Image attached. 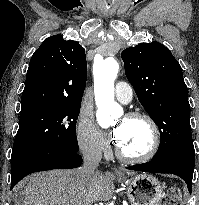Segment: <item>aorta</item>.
Returning <instances> with one entry per match:
<instances>
[{
    "instance_id": "762f6f07",
    "label": "aorta",
    "mask_w": 199,
    "mask_h": 205,
    "mask_svg": "<svg viewBox=\"0 0 199 205\" xmlns=\"http://www.w3.org/2000/svg\"><path fill=\"white\" fill-rule=\"evenodd\" d=\"M119 64L113 57L102 60L94 67V92L98 106L97 120L101 126L107 125L112 118L120 115L121 107L114 101V81Z\"/></svg>"
}]
</instances>
